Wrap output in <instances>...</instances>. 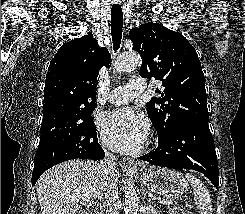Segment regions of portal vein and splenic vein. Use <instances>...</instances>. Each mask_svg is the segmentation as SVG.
I'll use <instances>...</instances> for the list:
<instances>
[{"label":"portal vein and splenic vein","instance_id":"1","mask_svg":"<svg viewBox=\"0 0 245 214\" xmlns=\"http://www.w3.org/2000/svg\"><path fill=\"white\" fill-rule=\"evenodd\" d=\"M74 199H79V200H82V201H90V197L89 195H82V194H79V195H76V196H73ZM160 204H163V205H172L173 204V201H165V200H159L158 201Z\"/></svg>","mask_w":245,"mask_h":214}]
</instances>
